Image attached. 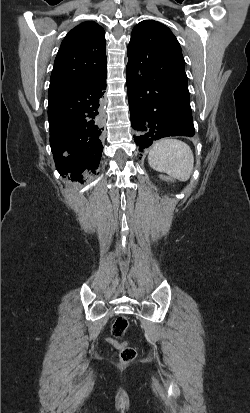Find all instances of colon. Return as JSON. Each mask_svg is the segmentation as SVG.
Instances as JSON below:
<instances>
[{
	"instance_id": "5ec220e1",
	"label": "colon",
	"mask_w": 250,
	"mask_h": 413,
	"mask_svg": "<svg viewBox=\"0 0 250 413\" xmlns=\"http://www.w3.org/2000/svg\"><path fill=\"white\" fill-rule=\"evenodd\" d=\"M159 177L163 183H172L173 186L179 185V180L175 179L173 174H163L160 173ZM128 319L124 316H118L112 325V336L114 339H108V342L113 346L119 349V359L121 363L127 364L132 362L137 355L136 349L129 345L126 342L119 343L116 339H121L127 328H128Z\"/></svg>"
}]
</instances>
